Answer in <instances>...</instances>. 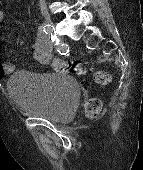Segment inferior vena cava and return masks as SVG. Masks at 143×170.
Here are the masks:
<instances>
[{"mask_svg": "<svg viewBox=\"0 0 143 170\" xmlns=\"http://www.w3.org/2000/svg\"><path fill=\"white\" fill-rule=\"evenodd\" d=\"M39 5H40V8H41V11L46 9V2H45V0H39Z\"/></svg>", "mask_w": 143, "mask_h": 170, "instance_id": "inferior-vena-cava-1", "label": "inferior vena cava"}]
</instances>
